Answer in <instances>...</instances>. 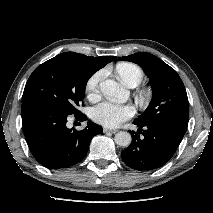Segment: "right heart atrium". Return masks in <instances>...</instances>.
Segmentation results:
<instances>
[{"label": "right heart atrium", "instance_id": "obj_1", "mask_svg": "<svg viewBox=\"0 0 213 213\" xmlns=\"http://www.w3.org/2000/svg\"><path fill=\"white\" fill-rule=\"evenodd\" d=\"M103 71L93 73L87 80L85 85V93L90 100H94L99 95V84L103 78Z\"/></svg>", "mask_w": 213, "mask_h": 213}]
</instances>
